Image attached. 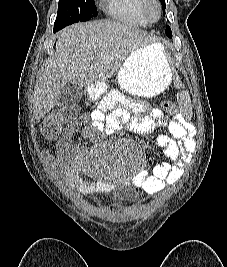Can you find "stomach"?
<instances>
[{"instance_id": "obj_1", "label": "stomach", "mask_w": 227, "mask_h": 267, "mask_svg": "<svg viewBox=\"0 0 227 267\" xmlns=\"http://www.w3.org/2000/svg\"><path fill=\"white\" fill-rule=\"evenodd\" d=\"M172 72L163 49L155 44L143 46L132 52L117 73L120 88L129 94L152 97L170 84ZM107 89L106 85L92 84L87 88L88 97L97 98Z\"/></svg>"}]
</instances>
